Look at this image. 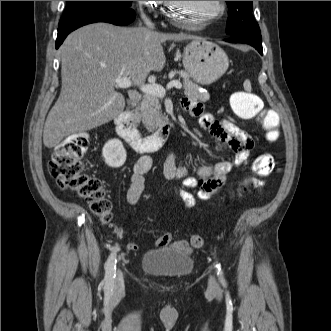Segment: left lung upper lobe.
I'll return each instance as SVG.
<instances>
[{
    "mask_svg": "<svg viewBox=\"0 0 331 331\" xmlns=\"http://www.w3.org/2000/svg\"><path fill=\"white\" fill-rule=\"evenodd\" d=\"M229 8L226 33L229 36L260 32V28L252 15V1H226Z\"/></svg>",
    "mask_w": 331,
    "mask_h": 331,
    "instance_id": "obj_1",
    "label": "left lung upper lobe"
}]
</instances>
